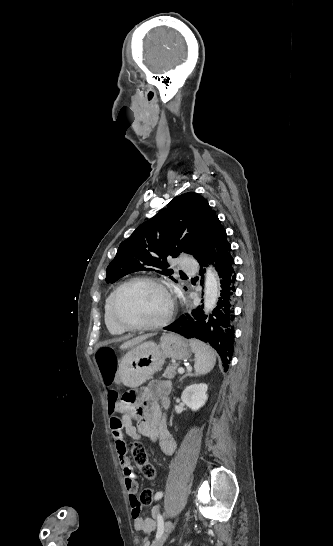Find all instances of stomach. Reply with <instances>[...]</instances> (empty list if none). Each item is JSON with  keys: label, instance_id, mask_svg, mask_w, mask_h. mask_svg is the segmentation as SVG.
<instances>
[{"label": "stomach", "instance_id": "1", "mask_svg": "<svg viewBox=\"0 0 333 546\" xmlns=\"http://www.w3.org/2000/svg\"><path fill=\"white\" fill-rule=\"evenodd\" d=\"M189 343L174 333L163 334L159 344L153 341L141 343L129 350L119 361L117 373L125 386L137 388L161 370L165 358L182 360L189 358Z\"/></svg>", "mask_w": 333, "mask_h": 546}]
</instances>
